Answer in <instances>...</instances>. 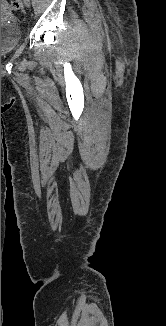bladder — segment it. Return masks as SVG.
Here are the masks:
<instances>
[{"label": "bladder", "instance_id": "bladder-1", "mask_svg": "<svg viewBox=\"0 0 166 326\" xmlns=\"http://www.w3.org/2000/svg\"><path fill=\"white\" fill-rule=\"evenodd\" d=\"M8 10V6L1 2V13ZM21 29L15 24H1V55L10 53L20 42Z\"/></svg>", "mask_w": 166, "mask_h": 326}]
</instances>
